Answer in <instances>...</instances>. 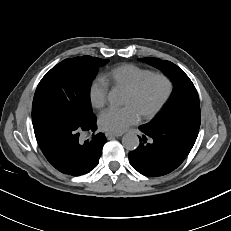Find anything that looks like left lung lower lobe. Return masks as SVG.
Listing matches in <instances>:
<instances>
[{"label":"left lung lower lobe","instance_id":"obj_1","mask_svg":"<svg viewBox=\"0 0 231 231\" xmlns=\"http://www.w3.org/2000/svg\"><path fill=\"white\" fill-rule=\"evenodd\" d=\"M138 148L128 154L131 166L145 176H163L181 165L191 151L197 130L142 125Z\"/></svg>","mask_w":231,"mask_h":231}]
</instances>
